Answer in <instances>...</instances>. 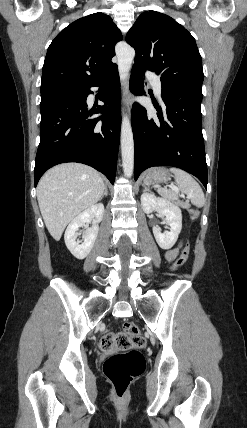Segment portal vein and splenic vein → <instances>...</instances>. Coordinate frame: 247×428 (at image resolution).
Here are the masks:
<instances>
[{
	"label": "portal vein and splenic vein",
	"mask_w": 247,
	"mask_h": 428,
	"mask_svg": "<svg viewBox=\"0 0 247 428\" xmlns=\"http://www.w3.org/2000/svg\"><path fill=\"white\" fill-rule=\"evenodd\" d=\"M173 190H175L176 192H179V189L175 186L171 187Z\"/></svg>",
	"instance_id": "obj_1"
}]
</instances>
